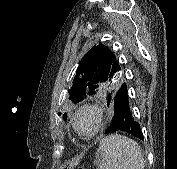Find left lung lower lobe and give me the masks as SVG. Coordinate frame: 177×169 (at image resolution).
<instances>
[{"mask_svg":"<svg viewBox=\"0 0 177 169\" xmlns=\"http://www.w3.org/2000/svg\"><path fill=\"white\" fill-rule=\"evenodd\" d=\"M107 104L114 106V117L106 134L118 131L127 132L139 139H143L140 124L135 121L129 106L127 86L123 83L113 96H107Z\"/></svg>","mask_w":177,"mask_h":169,"instance_id":"obj_1","label":"left lung lower lobe"}]
</instances>
